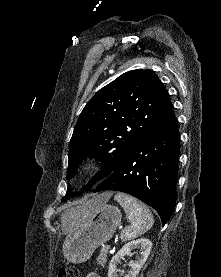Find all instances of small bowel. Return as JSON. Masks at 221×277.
<instances>
[{
  "instance_id": "small-bowel-1",
  "label": "small bowel",
  "mask_w": 221,
  "mask_h": 277,
  "mask_svg": "<svg viewBox=\"0 0 221 277\" xmlns=\"http://www.w3.org/2000/svg\"><path fill=\"white\" fill-rule=\"evenodd\" d=\"M86 277H101L99 274L94 273V272H90L86 275Z\"/></svg>"
}]
</instances>
